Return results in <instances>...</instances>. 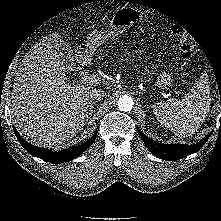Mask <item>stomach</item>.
Segmentation results:
<instances>
[{"label":"stomach","mask_w":221,"mask_h":221,"mask_svg":"<svg viewBox=\"0 0 221 221\" xmlns=\"http://www.w3.org/2000/svg\"><path fill=\"white\" fill-rule=\"evenodd\" d=\"M143 19V13L135 8L125 6L118 8L111 16L109 23L110 31L94 30L89 34L86 43L78 48V51L84 54L86 58H89L101 44L123 34L134 23ZM172 83L173 79L170 74L163 72L158 76L157 86L159 88L168 89Z\"/></svg>","instance_id":"stomach-1"}]
</instances>
